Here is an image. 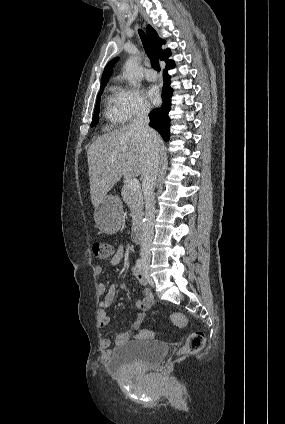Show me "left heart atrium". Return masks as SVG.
<instances>
[{"instance_id":"obj_1","label":"left heart atrium","mask_w":285,"mask_h":424,"mask_svg":"<svg viewBox=\"0 0 285 424\" xmlns=\"http://www.w3.org/2000/svg\"><path fill=\"white\" fill-rule=\"evenodd\" d=\"M147 93H148L150 100L154 104H158L160 102V93H159V90L156 86L149 87Z\"/></svg>"}]
</instances>
